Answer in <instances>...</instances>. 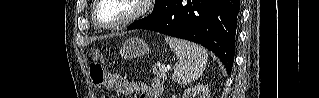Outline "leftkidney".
I'll use <instances>...</instances> for the list:
<instances>
[{"label": "left kidney", "mask_w": 319, "mask_h": 98, "mask_svg": "<svg viewBox=\"0 0 319 98\" xmlns=\"http://www.w3.org/2000/svg\"><path fill=\"white\" fill-rule=\"evenodd\" d=\"M209 87L204 84H198L185 90L182 98H209Z\"/></svg>", "instance_id": "left-kidney-1"}]
</instances>
